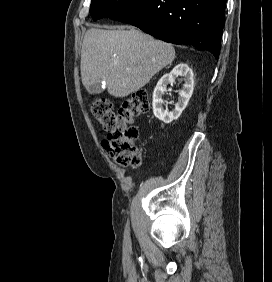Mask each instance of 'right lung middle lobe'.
Listing matches in <instances>:
<instances>
[{"label": "right lung middle lobe", "instance_id": "1", "mask_svg": "<svg viewBox=\"0 0 272 282\" xmlns=\"http://www.w3.org/2000/svg\"><path fill=\"white\" fill-rule=\"evenodd\" d=\"M137 0H92L90 14L94 20L110 17Z\"/></svg>", "mask_w": 272, "mask_h": 282}]
</instances>
